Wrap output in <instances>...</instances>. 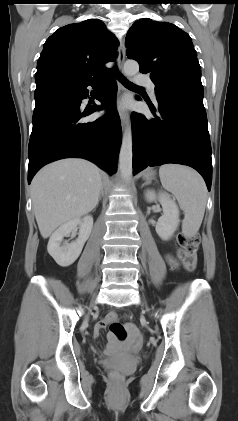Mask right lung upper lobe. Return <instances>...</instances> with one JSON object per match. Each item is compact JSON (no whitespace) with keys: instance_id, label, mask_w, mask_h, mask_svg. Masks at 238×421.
I'll return each instance as SVG.
<instances>
[{"instance_id":"right-lung-upper-lobe-1","label":"right lung upper lobe","mask_w":238,"mask_h":421,"mask_svg":"<svg viewBox=\"0 0 238 421\" xmlns=\"http://www.w3.org/2000/svg\"><path fill=\"white\" fill-rule=\"evenodd\" d=\"M118 45L116 37L98 19L61 27L44 43L36 82L100 79L108 72L105 64L116 59Z\"/></svg>"}]
</instances>
